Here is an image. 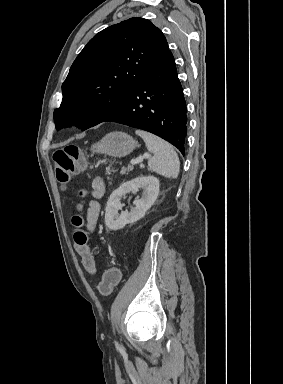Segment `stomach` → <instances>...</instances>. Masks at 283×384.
<instances>
[{"label":"stomach","mask_w":283,"mask_h":384,"mask_svg":"<svg viewBox=\"0 0 283 384\" xmlns=\"http://www.w3.org/2000/svg\"><path fill=\"white\" fill-rule=\"evenodd\" d=\"M137 144L131 136L123 132H111L106 134L100 142L93 144L91 150L93 154H107L113 158H123L133 152Z\"/></svg>","instance_id":"1"}]
</instances>
